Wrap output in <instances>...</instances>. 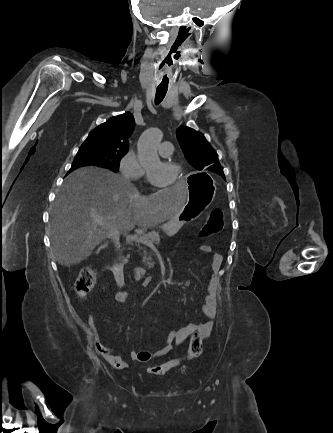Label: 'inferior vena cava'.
I'll return each instance as SVG.
<instances>
[{"mask_svg":"<svg viewBox=\"0 0 333 433\" xmlns=\"http://www.w3.org/2000/svg\"><path fill=\"white\" fill-rule=\"evenodd\" d=\"M114 230H115V229H112V228H111V229L109 230V235L112 236V237H114V238H118V235H116V234L113 232Z\"/></svg>","mask_w":333,"mask_h":433,"instance_id":"602c4592","label":"inferior vena cava"}]
</instances>
